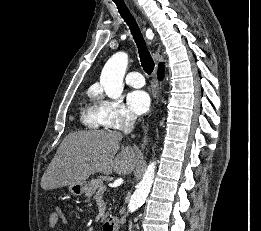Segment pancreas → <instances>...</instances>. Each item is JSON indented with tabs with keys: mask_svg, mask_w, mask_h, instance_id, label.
Listing matches in <instances>:
<instances>
[{
	"mask_svg": "<svg viewBox=\"0 0 261 231\" xmlns=\"http://www.w3.org/2000/svg\"><path fill=\"white\" fill-rule=\"evenodd\" d=\"M105 187L104 185V178L103 177H98L95 179H92L85 187V196L88 198H91L94 195H98L100 193V188ZM108 216V213L105 214L104 218Z\"/></svg>",
	"mask_w": 261,
	"mask_h": 231,
	"instance_id": "cf45deb5",
	"label": "pancreas"
}]
</instances>
